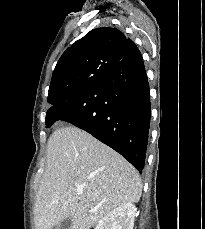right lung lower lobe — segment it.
<instances>
[{
    "mask_svg": "<svg viewBox=\"0 0 205 229\" xmlns=\"http://www.w3.org/2000/svg\"><path fill=\"white\" fill-rule=\"evenodd\" d=\"M131 47L108 76L53 105L46 125L69 122L126 158L140 173L144 168L151 105L140 51Z\"/></svg>",
    "mask_w": 205,
    "mask_h": 229,
    "instance_id": "1",
    "label": "right lung lower lobe"
}]
</instances>
